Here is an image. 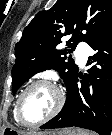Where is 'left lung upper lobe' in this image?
<instances>
[{
	"mask_svg": "<svg viewBox=\"0 0 112 135\" xmlns=\"http://www.w3.org/2000/svg\"><path fill=\"white\" fill-rule=\"evenodd\" d=\"M112 22L111 0H57L54 6L35 15L15 46L12 69L13 94L34 74L55 69L66 87L78 72L71 53L76 45L95 42ZM71 36L59 49L61 38Z\"/></svg>",
	"mask_w": 112,
	"mask_h": 135,
	"instance_id": "1",
	"label": "left lung upper lobe"
}]
</instances>
